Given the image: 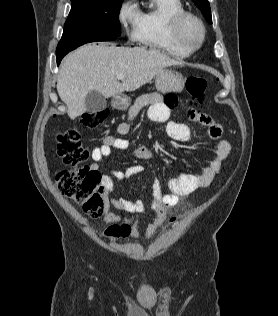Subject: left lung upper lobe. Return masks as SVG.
Instances as JSON below:
<instances>
[{
  "mask_svg": "<svg viewBox=\"0 0 278 316\" xmlns=\"http://www.w3.org/2000/svg\"><path fill=\"white\" fill-rule=\"evenodd\" d=\"M198 8L203 13L204 17L206 18L207 22L212 24V16H211V10L208 0H192Z\"/></svg>",
  "mask_w": 278,
  "mask_h": 316,
  "instance_id": "left-lung-upper-lobe-1",
  "label": "left lung upper lobe"
}]
</instances>
